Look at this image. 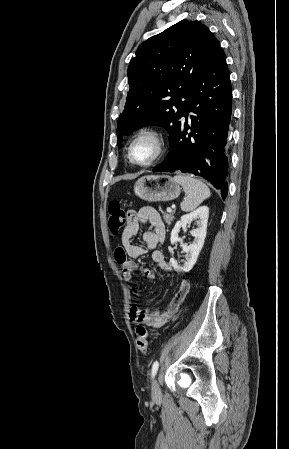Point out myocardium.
Wrapping results in <instances>:
<instances>
[{"label": "myocardium", "mask_w": 289, "mask_h": 449, "mask_svg": "<svg viewBox=\"0 0 289 449\" xmlns=\"http://www.w3.org/2000/svg\"><path fill=\"white\" fill-rule=\"evenodd\" d=\"M144 138L150 139L154 143L155 153L150 160H148L146 162H137L133 158L132 149H133L134 144L137 141L144 139ZM164 151H165V138H164L163 134L155 128H144V129L139 130L132 137V139L128 145L127 155H128L129 161L132 164L141 166V167H147V166L154 164L156 161H158L162 157Z\"/></svg>", "instance_id": "obj_1"}]
</instances>
